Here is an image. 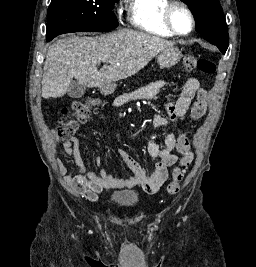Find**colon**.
I'll use <instances>...</instances> for the list:
<instances>
[{"label":"colon","mask_w":256,"mask_h":267,"mask_svg":"<svg viewBox=\"0 0 256 267\" xmlns=\"http://www.w3.org/2000/svg\"><path fill=\"white\" fill-rule=\"evenodd\" d=\"M183 68L185 72L197 70L204 75H212L215 72V64L209 58L186 56L183 59ZM96 104L97 102L94 99L88 98L86 100L76 101L71 110H64L63 114L66 115V118L61 119L58 122V138L61 140H69L73 138L80 124L88 118ZM206 108L207 100L205 92L204 90L199 89L192 104L190 113L191 119L194 121L202 119ZM178 148L182 154V158L173 170V180L166 188L168 194H174L179 191L185 172L193 159V153L184 132H181L179 135Z\"/></svg>","instance_id":"obj_1"}]
</instances>
